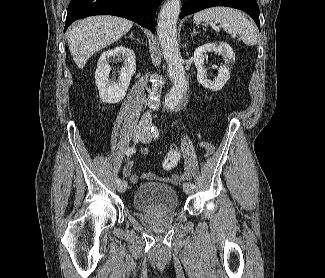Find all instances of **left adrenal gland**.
Listing matches in <instances>:
<instances>
[{
  "instance_id": "a2214340",
  "label": "left adrenal gland",
  "mask_w": 325,
  "mask_h": 278,
  "mask_svg": "<svg viewBox=\"0 0 325 278\" xmlns=\"http://www.w3.org/2000/svg\"><path fill=\"white\" fill-rule=\"evenodd\" d=\"M198 33H199V32L196 31V29H193V32H192L191 36H193V35H195V34H198Z\"/></svg>"
}]
</instances>
